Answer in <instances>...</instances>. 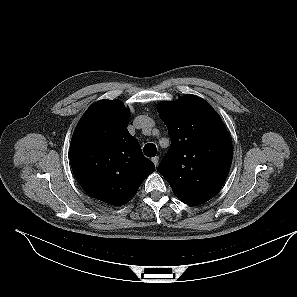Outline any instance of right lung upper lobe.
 Listing matches in <instances>:
<instances>
[{"label":"right lung upper lobe","instance_id":"1","mask_svg":"<svg viewBox=\"0 0 297 297\" xmlns=\"http://www.w3.org/2000/svg\"><path fill=\"white\" fill-rule=\"evenodd\" d=\"M129 114L117 101H97L81 117L70 144L71 168L81 187L115 206L129 202L155 170L128 132Z\"/></svg>","mask_w":297,"mask_h":297}]
</instances>
